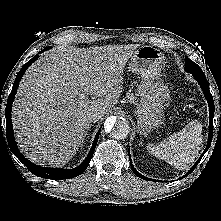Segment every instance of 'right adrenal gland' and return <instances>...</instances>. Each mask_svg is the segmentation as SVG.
Segmentation results:
<instances>
[{"mask_svg": "<svg viewBox=\"0 0 221 221\" xmlns=\"http://www.w3.org/2000/svg\"><path fill=\"white\" fill-rule=\"evenodd\" d=\"M90 127H91V126H89V128H90ZM89 128H88L87 130H89ZM86 136H87V131L85 132V135H84V138H83V140H82V143L84 142Z\"/></svg>", "mask_w": 221, "mask_h": 221, "instance_id": "right-adrenal-gland-1", "label": "right adrenal gland"}]
</instances>
